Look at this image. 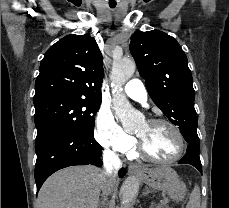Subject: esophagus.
Instances as JSON below:
<instances>
[{
    "instance_id": "esophagus-1",
    "label": "esophagus",
    "mask_w": 229,
    "mask_h": 208,
    "mask_svg": "<svg viewBox=\"0 0 229 208\" xmlns=\"http://www.w3.org/2000/svg\"><path fill=\"white\" fill-rule=\"evenodd\" d=\"M139 167H137L136 165L134 164H130L129 167H128V171L129 173H133L134 171L138 170Z\"/></svg>"
}]
</instances>
